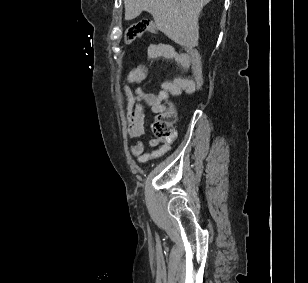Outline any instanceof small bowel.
I'll return each mask as SVG.
<instances>
[{
    "label": "small bowel",
    "instance_id": "1",
    "mask_svg": "<svg viewBox=\"0 0 308 283\" xmlns=\"http://www.w3.org/2000/svg\"><path fill=\"white\" fill-rule=\"evenodd\" d=\"M148 54L151 57H163L173 60L185 71H190L191 57L184 52L176 51L167 44H152L148 47ZM147 77V70L143 66L132 69L122 83V91L126 98V115L128 119V134L136 142L129 146L131 154L139 163H147L151 160L162 157L171 149L170 141L151 139L145 142L141 137L145 128L144 105L149 106L153 112L159 113L164 109V103L169 97L178 96L183 92H188L191 85V75L176 77L170 81L160 84L157 93H148L140 85ZM129 84L135 88L131 89ZM147 147L150 148L146 151Z\"/></svg>",
    "mask_w": 308,
    "mask_h": 283
}]
</instances>
